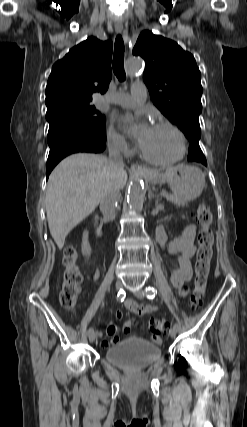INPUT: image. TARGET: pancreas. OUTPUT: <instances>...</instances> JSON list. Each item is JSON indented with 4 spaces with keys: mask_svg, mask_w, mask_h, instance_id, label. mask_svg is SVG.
Returning a JSON list of instances; mask_svg holds the SVG:
<instances>
[{
    "mask_svg": "<svg viewBox=\"0 0 247 427\" xmlns=\"http://www.w3.org/2000/svg\"><path fill=\"white\" fill-rule=\"evenodd\" d=\"M161 196L165 197L168 201L174 203L175 205L184 204V202L181 201L179 198L167 192H164V194H161Z\"/></svg>",
    "mask_w": 247,
    "mask_h": 427,
    "instance_id": "obj_1",
    "label": "pancreas"
}]
</instances>
